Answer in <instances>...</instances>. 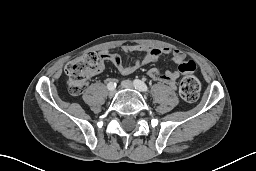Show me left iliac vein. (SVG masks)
Instances as JSON below:
<instances>
[{
	"label": "left iliac vein",
	"mask_w": 256,
	"mask_h": 171,
	"mask_svg": "<svg viewBox=\"0 0 256 171\" xmlns=\"http://www.w3.org/2000/svg\"><path fill=\"white\" fill-rule=\"evenodd\" d=\"M121 86H122L123 88H127V89H137V88L134 86L133 82L130 81V80H124V81H122V82H121ZM137 90H139V89H137ZM139 91H141V90H139Z\"/></svg>",
	"instance_id": "1"
}]
</instances>
